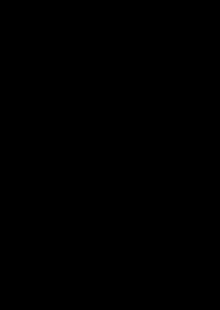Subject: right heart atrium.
I'll return each instance as SVG.
<instances>
[{"label":"right heart atrium","instance_id":"1","mask_svg":"<svg viewBox=\"0 0 220 310\" xmlns=\"http://www.w3.org/2000/svg\"><path fill=\"white\" fill-rule=\"evenodd\" d=\"M92 155L97 159L99 166L107 172H112L115 163L110 159L107 153L102 148H92Z\"/></svg>","mask_w":220,"mask_h":310}]
</instances>
